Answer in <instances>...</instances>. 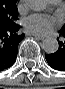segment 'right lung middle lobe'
<instances>
[{
  "instance_id": "1",
  "label": "right lung middle lobe",
  "mask_w": 65,
  "mask_h": 89,
  "mask_svg": "<svg viewBox=\"0 0 65 89\" xmlns=\"http://www.w3.org/2000/svg\"><path fill=\"white\" fill-rule=\"evenodd\" d=\"M17 0H0V27H9L16 24Z\"/></svg>"
}]
</instances>
